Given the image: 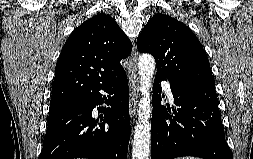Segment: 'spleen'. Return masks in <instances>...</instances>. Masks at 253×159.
Returning <instances> with one entry per match:
<instances>
[{
    "label": "spleen",
    "mask_w": 253,
    "mask_h": 159,
    "mask_svg": "<svg viewBox=\"0 0 253 159\" xmlns=\"http://www.w3.org/2000/svg\"><path fill=\"white\" fill-rule=\"evenodd\" d=\"M177 159H199V158H196V157H183V158H177Z\"/></svg>",
    "instance_id": "1"
}]
</instances>
